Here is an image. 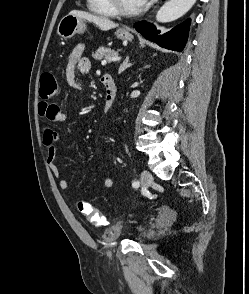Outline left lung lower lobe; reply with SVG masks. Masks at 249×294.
Listing matches in <instances>:
<instances>
[{"label": "left lung lower lobe", "instance_id": "1", "mask_svg": "<svg viewBox=\"0 0 249 294\" xmlns=\"http://www.w3.org/2000/svg\"><path fill=\"white\" fill-rule=\"evenodd\" d=\"M189 24L190 19H187L170 31L161 33L159 30L155 29L153 24L140 22L137 24L136 30L145 36L146 39L156 42L162 47L175 51H182L188 38Z\"/></svg>", "mask_w": 249, "mask_h": 294}]
</instances>
